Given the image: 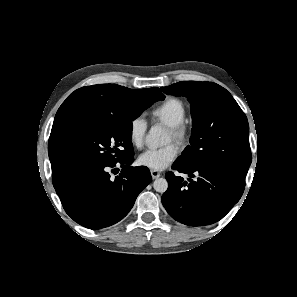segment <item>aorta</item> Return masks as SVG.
<instances>
[{
  "instance_id": "aorta-1",
  "label": "aorta",
  "mask_w": 297,
  "mask_h": 297,
  "mask_svg": "<svg viewBox=\"0 0 297 297\" xmlns=\"http://www.w3.org/2000/svg\"><path fill=\"white\" fill-rule=\"evenodd\" d=\"M164 132L158 127H151L149 133L146 135V142L150 147L157 148L164 141ZM153 187L155 191L159 193H164L168 188V182L164 178H158L154 181Z\"/></svg>"
}]
</instances>
